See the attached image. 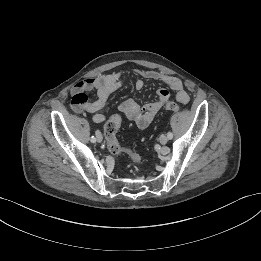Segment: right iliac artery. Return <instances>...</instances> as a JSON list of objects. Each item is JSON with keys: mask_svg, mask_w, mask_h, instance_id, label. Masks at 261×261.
<instances>
[{"mask_svg": "<svg viewBox=\"0 0 261 261\" xmlns=\"http://www.w3.org/2000/svg\"><path fill=\"white\" fill-rule=\"evenodd\" d=\"M97 132H98V131H97ZM97 132H96V133H97ZM95 141H96V138H95L94 136H92V137H91V142L94 143Z\"/></svg>", "mask_w": 261, "mask_h": 261, "instance_id": "obj_1", "label": "right iliac artery"}]
</instances>
